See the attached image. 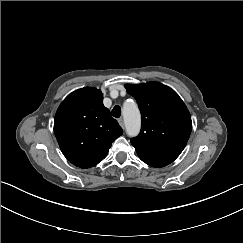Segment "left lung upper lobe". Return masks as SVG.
Here are the masks:
<instances>
[{"instance_id": "left-lung-upper-lobe-1", "label": "left lung upper lobe", "mask_w": 243, "mask_h": 243, "mask_svg": "<svg viewBox=\"0 0 243 243\" xmlns=\"http://www.w3.org/2000/svg\"><path fill=\"white\" fill-rule=\"evenodd\" d=\"M127 92L138 103L142 125L140 134L131 140L140 159L153 167L173 162L190 137V113L170 87L159 82L126 84Z\"/></svg>"}]
</instances>
